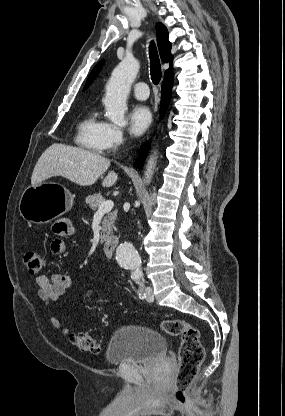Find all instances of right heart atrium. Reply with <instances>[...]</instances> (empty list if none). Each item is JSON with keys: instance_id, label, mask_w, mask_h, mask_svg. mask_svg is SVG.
Returning a JSON list of instances; mask_svg holds the SVG:
<instances>
[{"instance_id": "1", "label": "right heart atrium", "mask_w": 285, "mask_h": 416, "mask_svg": "<svg viewBox=\"0 0 285 416\" xmlns=\"http://www.w3.org/2000/svg\"><path fill=\"white\" fill-rule=\"evenodd\" d=\"M125 141L124 130L112 123H107L102 137V150H115Z\"/></svg>"}]
</instances>
